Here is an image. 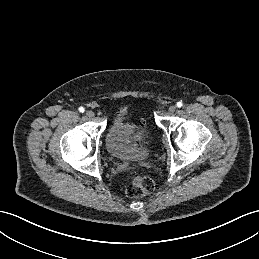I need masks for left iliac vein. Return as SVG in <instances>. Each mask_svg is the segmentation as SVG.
Here are the masks:
<instances>
[{
    "label": "left iliac vein",
    "instance_id": "1",
    "mask_svg": "<svg viewBox=\"0 0 259 259\" xmlns=\"http://www.w3.org/2000/svg\"><path fill=\"white\" fill-rule=\"evenodd\" d=\"M169 112L173 113L175 112L176 110V106L175 105H171L169 108H168Z\"/></svg>",
    "mask_w": 259,
    "mask_h": 259
}]
</instances>
